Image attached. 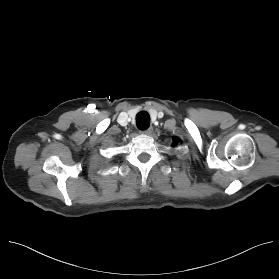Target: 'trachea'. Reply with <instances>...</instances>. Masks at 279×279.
Wrapping results in <instances>:
<instances>
[{
	"label": "trachea",
	"instance_id": "trachea-1",
	"mask_svg": "<svg viewBox=\"0 0 279 279\" xmlns=\"http://www.w3.org/2000/svg\"><path fill=\"white\" fill-rule=\"evenodd\" d=\"M136 125L140 130H145L150 126V116L146 111H141L136 115Z\"/></svg>",
	"mask_w": 279,
	"mask_h": 279
}]
</instances>
